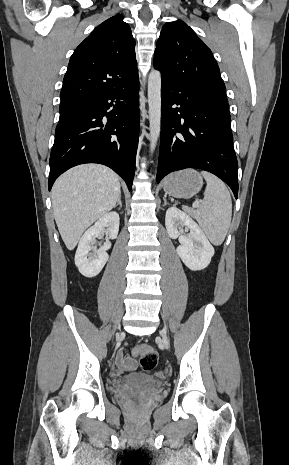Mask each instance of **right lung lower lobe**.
<instances>
[{
    "mask_svg": "<svg viewBox=\"0 0 289 465\" xmlns=\"http://www.w3.org/2000/svg\"><path fill=\"white\" fill-rule=\"evenodd\" d=\"M138 137L137 76L115 91L86 101L84 112L57 125L50 155L49 190L60 174L84 163L110 167L131 190Z\"/></svg>",
    "mask_w": 289,
    "mask_h": 465,
    "instance_id": "1",
    "label": "right lung lower lobe"
}]
</instances>
